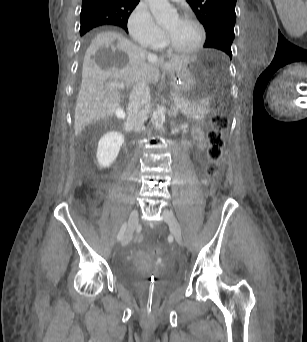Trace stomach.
<instances>
[{"mask_svg": "<svg viewBox=\"0 0 307 342\" xmlns=\"http://www.w3.org/2000/svg\"><path fill=\"white\" fill-rule=\"evenodd\" d=\"M199 68L198 60H191L188 65L170 73V80L173 92L182 96L188 101L196 99L195 85L196 75Z\"/></svg>", "mask_w": 307, "mask_h": 342, "instance_id": "1", "label": "stomach"}]
</instances>
